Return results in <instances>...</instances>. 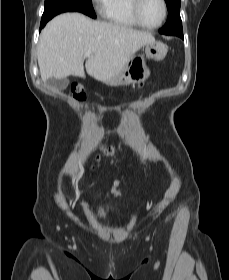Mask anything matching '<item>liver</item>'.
I'll use <instances>...</instances> for the list:
<instances>
[{"label":"liver","instance_id":"liver-1","mask_svg":"<svg viewBox=\"0 0 229 280\" xmlns=\"http://www.w3.org/2000/svg\"><path fill=\"white\" fill-rule=\"evenodd\" d=\"M155 42L151 33L123 25L94 21L80 13H65L52 19L43 29L38 45V65L43 82L70 75H88L99 81L118 75L131 57L147 43Z\"/></svg>","mask_w":229,"mask_h":280}]
</instances>
